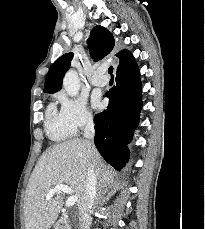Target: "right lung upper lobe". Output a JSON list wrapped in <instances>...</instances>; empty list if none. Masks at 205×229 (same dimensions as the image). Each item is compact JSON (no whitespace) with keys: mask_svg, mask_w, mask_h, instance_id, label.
Listing matches in <instances>:
<instances>
[{"mask_svg":"<svg viewBox=\"0 0 205 229\" xmlns=\"http://www.w3.org/2000/svg\"><path fill=\"white\" fill-rule=\"evenodd\" d=\"M88 45L92 58L98 61L112 52L115 41L113 35L106 28L96 26L90 33ZM116 56L120 59L118 67L125 66L134 60L132 54L127 50L117 53ZM72 58V52L66 53L52 64L45 80V93H54L61 89L62 79L70 66Z\"/></svg>","mask_w":205,"mask_h":229,"instance_id":"1","label":"right lung upper lobe"}]
</instances>
